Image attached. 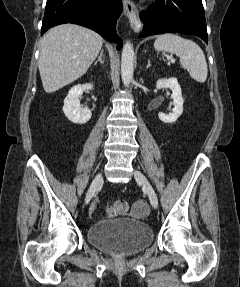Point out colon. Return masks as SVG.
I'll list each match as a JSON object with an SVG mask.
<instances>
[{"label": "colon", "mask_w": 240, "mask_h": 287, "mask_svg": "<svg viewBox=\"0 0 240 287\" xmlns=\"http://www.w3.org/2000/svg\"><path fill=\"white\" fill-rule=\"evenodd\" d=\"M129 205L126 200L119 199L109 205L106 209V215L108 217H115L118 215H124L128 212ZM134 214V213H133ZM142 213L134 214L140 216Z\"/></svg>", "instance_id": "colon-1"}]
</instances>
